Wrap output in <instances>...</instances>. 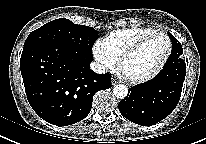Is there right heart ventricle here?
Returning a JSON list of instances; mask_svg holds the SVG:
<instances>
[{
  "label": "right heart ventricle",
  "mask_w": 206,
  "mask_h": 144,
  "mask_svg": "<svg viewBox=\"0 0 206 144\" xmlns=\"http://www.w3.org/2000/svg\"><path fill=\"white\" fill-rule=\"evenodd\" d=\"M154 32L156 30L146 27L125 28L109 33L103 42L112 56L118 60L122 53L132 44Z\"/></svg>",
  "instance_id": "obj_1"
}]
</instances>
